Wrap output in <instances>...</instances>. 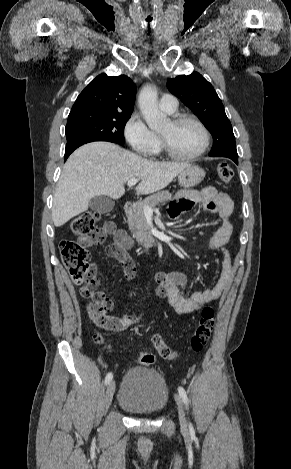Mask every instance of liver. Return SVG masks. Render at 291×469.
<instances>
[{
    "label": "liver",
    "mask_w": 291,
    "mask_h": 469,
    "mask_svg": "<svg viewBox=\"0 0 291 469\" xmlns=\"http://www.w3.org/2000/svg\"><path fill=\"white\" fill-rule=\"evenodd\" d=\"M190 164L156 162L110 142H92L78 148L66 161L52 207V220L60 227L85 212L95 196L119 199L124 184L140 179L136 191L151 194L167 187Z\"/></svg>",
    "instance_id": "1"
}]
</instances>
